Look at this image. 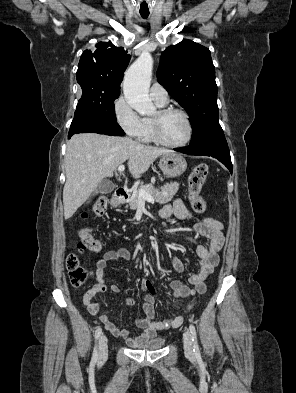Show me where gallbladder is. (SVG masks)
I'll return each instance as SVG.
<instances>
[{"instance_id": "bac80fb5", "label": "gallbladder", "mask_w": 296, "mask_h": 393, "mask_svg": "<svg viewBox=\"0 0 296 393\" xmlns=\"http://www.w3.org/2000/svg\"><path fill=\"white\" fill-rule=\"evenodd\" d=\"M115 184L113 182H111L108 179H103L98 186L95 188L93 195H96L98 193L101 194H108L113 192V190L115 189Z\"/></svg>"}]
</instances>
